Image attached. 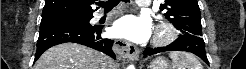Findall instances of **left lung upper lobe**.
Wrapping results in <instances>:
<instances>
[{"instance_id": "1", "label": "left lung upper lobe", "mask_w": 246, "mask_h": 69, "mask_svg": "<svg viewBox=\"0 0 246 69\" xmlns=\"http://www.w3.org/2000/svg\"><path fill=\"white\" fill-rule=\"evenodd\" d=\"M165 17L182 34L202 36L201 15L197 0H165L160 5Z\"/></svg>"}]
</instances>
